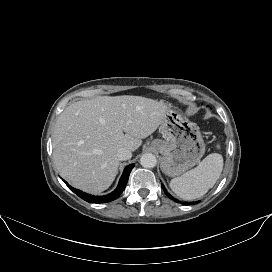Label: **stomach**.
Wrapping results in <instances>:
<instances>
[{"label":"stomach","mask_w":272,"mask_h":272,"mask_svg":"<svg viewBox=\"0 0 272 272\" xmlns=\"http://www.w3.org/2000/svg\"><path fill=\"white\" fill-rule=\"evenodd\" d=\"M159 131L164 140L155 139L151 147L162 155L161 169L171 177L179 176L199 163L205 143L199 127L177 110H168Z\"/></svg>","instance_id":"0dacf381"}]
</instances>
